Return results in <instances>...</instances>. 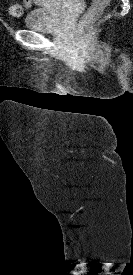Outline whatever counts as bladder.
<instances>
[{
	"mask_svg": "<svg viewBox=\"0 0 133 275\" xmlns=\"http://www.w3.org/2000/svg\"><path fill=\"white\" fill-rule=\"evenodd\" d=\"M52 0L50 5L32 9L23 21L26 29L40 32H57L63 22L62 2Z\"/></svg>",
	"mask_w": 133,
	"mask_h": 275,
	"instance_id": "obj_1",
	"label": "bladder"
}]
</instances>
